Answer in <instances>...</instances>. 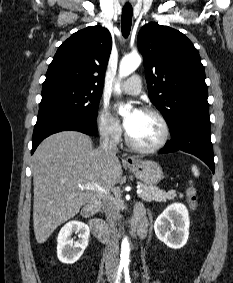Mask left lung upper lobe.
I'll return each instance as SVG.
<instances>
[{
	"label": "left lung upper lobe",
	"instance_id": "obj_1",
	"mask_svg": "<svg viewBox=\"0 0 233 283\" xmlns=\"http://www.w3.org/2000/svg\"><path fill=\"white\" fill-rule=\"evenodd\" d=\"M151 102L169 128L193 115H209L205 70L197 49L181 32L150 22L137 38Z\"/></svg>",
	"mask_w": 233,
	"mask_h": 283
}]
</instances>
